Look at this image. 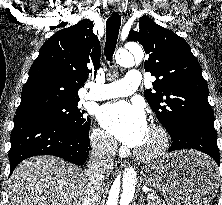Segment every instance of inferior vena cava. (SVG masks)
I'll return each instance as SVG.
<instances>
[{
	"label": "inferior vena cava",
	"instance_id": "obj_1",
	"mask_svg": "<svg viewBox=\"0 0 222 205\" xmlns=\"http://www.w3.org/2000/svg\"><path fill=\"white\" fill-rule=\"evenodd\" d=\"M116 147V142L106 140H102L94 146L86 170L89 183L82 205H96L98 190L105 176L113 170V157L115 156Z\"/></svg>",
	"mask_w": 222,
	"mask_h": 205
}]
</instances>
